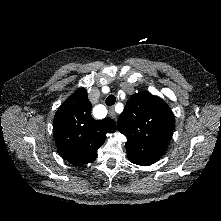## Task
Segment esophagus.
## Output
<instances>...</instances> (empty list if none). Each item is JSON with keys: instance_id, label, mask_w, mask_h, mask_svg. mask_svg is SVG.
Listing matches in <instances>:
<instances>
[{"instance_id": "esophagus-1", "label": "esophagus", "mask_w": 221, "mask_h": 221, "mask_svg": "<svg viewBox=\"0 0 221 221\" xmlns=\"http://www.w3.org/2000/svg\"><path fill=\"white\" fill-rule=\"evenodd\" d=\"M109 115H110V117H111L112 119H114L115 121L117 120V114H116L115 109H114L113 106L110 107V109H109Z\"/></svg>"}]
</instances>
